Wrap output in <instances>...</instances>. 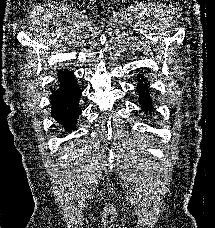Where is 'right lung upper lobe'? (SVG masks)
Here are the masks:
<instances>
[{
    "label": "right lung upper lobe",
    "mask_w": 215,
    "mask_h": 228,
    "mask_svg": "<svg viewBox=\"0 0 215 228\" xmlns=\"http://www.w3.org/2000/svg\"><path fill=\"white\" fill-rule=\"evenodd\" d=\"M58 75L61 77H67V76H71L73 74L68 70H64V71L60 72Z\"/></svg>",
    "instance_id": "1"
}]
</instances>
